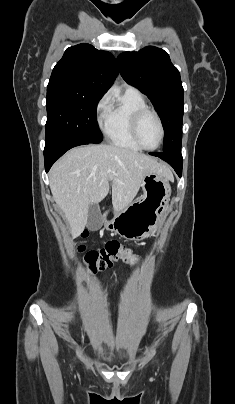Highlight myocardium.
Returning <instances> with one entry per match:
<instances>
[{"instance_id":"1","label":"myocardium","mask_w":235,"mask_h":404,"mask_svg":"<svg viewBox=\"0 0 235 404\" xmlns=\"http://www.w3.org/2000/svg\"><path fill=\"white\" fill-rule=\"evenodd\" d=\"M146 114H152L155 116V118L157 119V122L159 124V129H160V138H159V142L156 146L154 147H146L144 146L140 139H139V134H138V130H139V125L140 122L142 120V118L146 115ZM131 135L135 141V143L143 150H147V151H152V150H156L158 149L161 144L163 143L164 140V135H165V130H164V125H163V121L160 117V115L158 114L157 111H155L154 109H151L149 107H144L139 109L138 111H136L132 117L131 120Z\"/></svg>"}]
</instances>
